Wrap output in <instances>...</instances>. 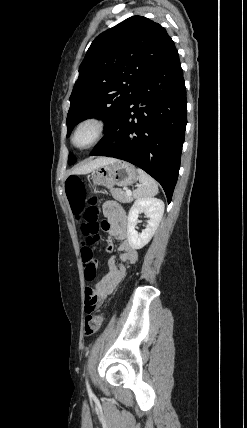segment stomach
<instances>
[{
  "instance_id": "stomach-1",
  "label": "stomach",
  "mask_w": 247,
  "mask_h": 428,
  "mask_svg": "<svg viewBox=\"0 0 247 428\" xmlns=\"http://www.w3.org/2000/svg\"><path fill=\"white\" fill-rule=\"evenodd\" d=\"M138 179L137 170L132 164L117 160L93 170L91 180L94 186L112 188L114 185L128 186Z\"/></svg>"
}]
</instances>
